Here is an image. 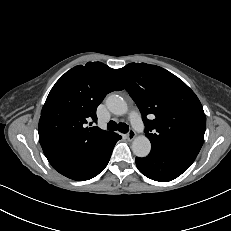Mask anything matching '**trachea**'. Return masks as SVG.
I'll list each match as a JSON object with an SVG mask.
<instances>
[{
	"mask_svg": "<svg viewBox=\"0 0 231 231\" xmlns=\"http://www.w3.org/2000/svg\"><path fill=\"white\" fill-rule=\"evenodd\" d=\"M107 129L110 131H120L121 133H127L129 130V126L125 123H119L117 124L115 121H110L107 124Z\"/></svg>",
	"mask_w": 231,
	"mask_h": 231,
	"instance_id": "trachea-1",
	"label": "trachea"
}]
</instances>
